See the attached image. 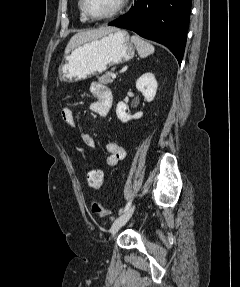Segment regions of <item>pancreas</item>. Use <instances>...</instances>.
<instances>
[{
  "instance_id": "pancreas-1",
  "label": "pancreas",
  "mask_w": 240,
  "mask_h": 287,
  "mask_svg": "<svg viewBox=\"0 0 240 287\" xmlns=\"http://www.w3.org/2000/svg\"><path fill=\"white\" fill-rule=\"evenodd\" d=\"M114 69H111V71H107L104 75L100 76L98 79L100 82L104 84H111L114 81V78L112 77Z\"/></svg>"
}]
</instances>
